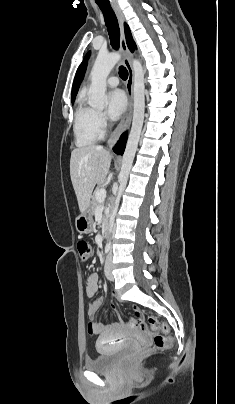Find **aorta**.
Returning a JSON list of instances; mask_svg holds the SVG:
<instances>
[{
  "label": "aorta",
  "instance_id": "aorta-1",
  "mask_svg": "<svg viewBox=\"0 0 235 404\" xmlns=\"http://www.w3.org/2000/svg\"><path fill=\"white\" fill-rule=\"evenodd\" d=\"M121 55L118 52L103 54L99 53L90 73L91 85L89 88V104L94 108H104L107 104L106 80L113 67L120 61ZM134 71L133 84V120L127 145L122 159V167L119 174L118 194L112 209L109 220V233L113 232L114 219L118 210L121 195L127 185L128 176L132 167L134 156L144 121L145 111V85L144 72L140 61H132Z\"/></svg>",
  "mask_w": 235,
  "mask_h": 404
}]
</instances>
